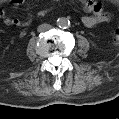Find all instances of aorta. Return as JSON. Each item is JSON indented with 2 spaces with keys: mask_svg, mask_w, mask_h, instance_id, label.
<instances>
[{
  "mask_svg": "<svg viewBox=\"0 0 119 119\" xmlns=\"http://www.w3.org/2000/svg\"><path fill=\"white\" fill-rule=\"evenodd\" d=\"M69 24H70L69 20L64 17L58 18L57 20V25L61 28H66L69 26Z\"/></svg>",
  "mask_w": 119,
  "mask_h": 119,
  "instance_id": "aorta-1",
  "label": "aorta"
}]
</instances>
